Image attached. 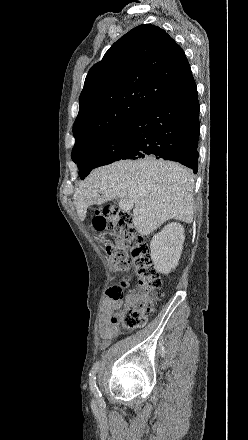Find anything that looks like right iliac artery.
Wrapping results in <instances>:
<instances>
[{
	"label": "right iliac artery",
	"instance_id": "1",
	"mask_svg": "<svg viewBox=\"0 0 248 440\" xmlns=\"http://www.w3.org/2000/svg\"><path fill=\"white\" fill-rule=\"evenodd\" d=\"M98 367H99V363L97 362V363L94 365V367H93V369H92V372H91V374H90V376H91V378H90V387H91V391L94 393V395H95L97 398H100V397H101V394H100V391H99L98 388H97V385H96V376H95V374H96V372H97V370H98Z\"/></svg>",
	"mask_w": 248,
	"mask_h": 440
}]
</instances>
